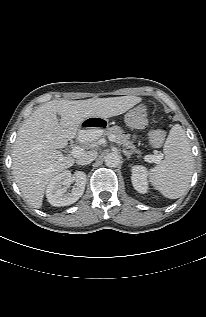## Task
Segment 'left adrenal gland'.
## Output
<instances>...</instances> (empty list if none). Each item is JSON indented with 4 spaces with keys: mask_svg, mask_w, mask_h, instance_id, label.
Returning a JSON list of instances; mask_svg holds the SVG:
<instances>
[{
    "mask_svg": "<svg viewBox=\"0 0 206 317\" xmlns=\"http://www.w3.org/2000/svg\"><path fill=\"white\" fill-rule=\"evenodd\" d=\"M123 153H124V154L126 155V157L129 159L133 152L126 151V150L123 149Z\"/></svg>",
    "mask_w": 206,
    "mask_h": 317,
    "instance_id": "a2214340",
    "label": "left adrenal gland"
}]
</instances>
